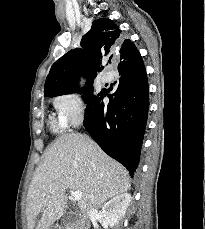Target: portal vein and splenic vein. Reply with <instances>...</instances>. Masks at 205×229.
Wrapping results in <instances>:
<instances>
[{"mask_svg": "<svg viewBox=\"0 0 205 229\" xmlns=\"http://www.w3.org/2000/svg\"><path fill=\"white\" fill-rule=\"evenodd\" d=\"M70 193H71L72 199L75 201H79L82 197V193L80 191L71 190ZM49 197L50 196H48V198Z\"/></svg>", "mask_w": 205, "mask_h": 229, "instance_id": "18ae733b", "label": "portal vein and splenic vein"}]
</instances>
